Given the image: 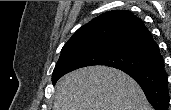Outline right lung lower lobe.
I'll return each instance as SVG.
<instances>
[{
  "instance_id": "obj_1",
  "label": "right lung lower lobe",
  "mask_w": 171,
  "mask_h": 110,
  "mask_svg": "<svg viewBox=\"0 0 171 110\" xmlns=\"http://www.w3.org/2000/svg\"><path fill=\"white\" fill-rule=\"evenodd\" d=\"M131 76L143 89L149 103L155 110H168V79L164 70L163 57L145 68L122 70Z\"/></svg>"
}]
</instances>
